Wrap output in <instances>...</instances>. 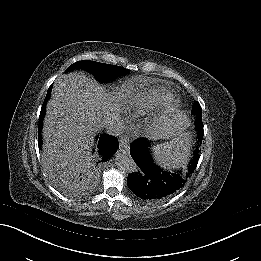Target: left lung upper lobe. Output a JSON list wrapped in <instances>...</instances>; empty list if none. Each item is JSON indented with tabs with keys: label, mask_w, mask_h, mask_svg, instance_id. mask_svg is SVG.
<instances>
[{
	"label": "left lung upper lobe",
	"mask_w": 261,
	"mask_h": 261,
	"mask_svg": "<svg viewBox=\"0 0 261 261\" xmlns=\"http://www.w3.org/2000/svg\"><path fill=\"white\" fill-rule=\"evenodd\" d=\"M192 112L196 114L197 117L196 126L199 129V134H203L202 109L199 102H195Z\"/></svg>",
	"instance_id": "1"
}]
</instances>
